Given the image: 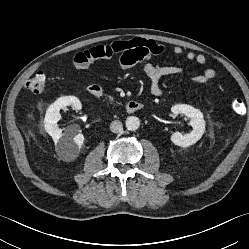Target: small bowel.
I'll use <instances>...</instances> for the list:
<instances>
[{
  "mask_svg": "<svg viewBox=\"0 0 249 249\" xmlns=\"http://www.w3.org/2000/svg\"><path fill=\"white\" fill-rule=\"evenodd\" d=\"M163 52L164 47L153 40L134 38L117 40L106 45L87 49L78 53L74 58V62L79 70L84 71L96 60L109 59L114 55H118L119 65L123 70L130 69L136 64H141L149 80L150 93L154 96H161L163 94L161 80L164 77L180 75L184 72V69L180 66L160 65L151 62L152 57ZM173 52L176 55H180L183 49L180 46H175ZM186 59L201 66L206 63V57L203 54H197L192 51L186 53ZM215 75L216 73L212 68H205L202 73L196 74L193 77V81L201 85L207 84Z\"/></svg>",
  "mask_w": 249,
  "mask_h": 249,
  "instance_id": "small-bowel-1",
  "label": "small bowel"
}]
</instances>
